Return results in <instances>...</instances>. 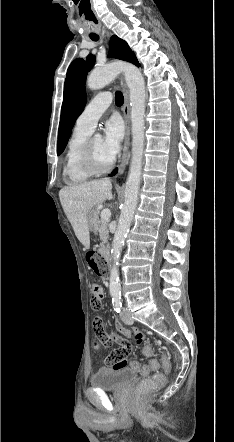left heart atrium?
<instances>
[{
	"instance_id": "1",
	"label": "left heart atrium",
	"mask_w": 234,
	"mask_h": 442,
	"mask_svg": "<svg viewBox=\"0 0 234 442\" xmlns=\"http://www.w3.org/2000/svg\"><path fill=\"white\" fill-rule=\"evenodd\" d=\"M124 137V125L118 116L110 117L104 124L103 147L111 158L117 155Z\"/></svg>"
}]
</instances>
